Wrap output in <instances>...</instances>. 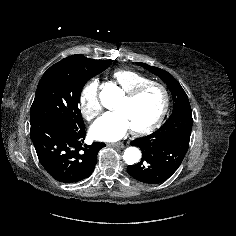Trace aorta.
<instances>
[{
  "label": "aorta",
  "mask_w": 236,
  "mask_h": 236,
  "mask_svg": "<svg viewBox=\"0 0 236 236\" xmlns=\"http://www.w3.org/2000/svg\"><path fill=\"white\" fill-rule=\"evenodd\" d=\"M120 95V89L115 86L111 85L107 88H104L100 93V99L104 106H108V102L110 100L116 99ZM141 158V152L136 147H129L124 151L123 160L125 163L129 165H133L137 163Z\"/></svg>",
  "instance_id": "obj_1"
}]
</instances>
